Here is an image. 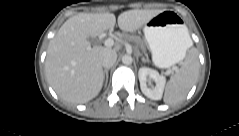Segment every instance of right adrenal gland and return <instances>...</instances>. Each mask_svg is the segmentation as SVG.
Segmentation results:
<instances>
[{"instance_id":"2a0ac1e0","label":"right adrenal gland","mask_w":239,"mask_h":136,"mask_svg":"<svg viewBox=\"0 0 239 136\" xmlns=\"http://www.w3.org/2000/svg\"><path fill=\"white\" fill-rule=\"evenodd\" d=\"M109 69L110 68H105L104 71H103V76H104V79H105V86H107V83H108V77H109Z\"/></svg>"}]
</instances>
